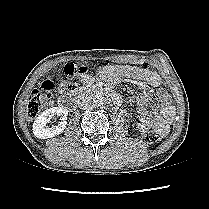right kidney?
<instances>
[{
  "instance_id": "ca27d5eb",
  "label": "right kidney",
  "mask_w": 209,
  "mask_h": 209,
  "mask_svg": "<svg viewBox=\"0 0 209 209\" xmlns=\"http://www.w3.org/2000/svg\"><path fill=\"white\" fill-rule=\"evenodd\" d=\"M55 115L61 116L63 122H60L56 126L47 127L50 119ZM67 115L68 110L65 107H52L45 110L34 120L32 125L33 134L39 139L53 138L54 136L61 134L66 128L65 120L67 119Z\"/></svg>"
}]
</instances>
